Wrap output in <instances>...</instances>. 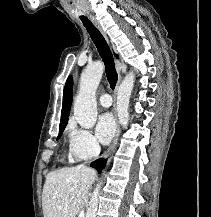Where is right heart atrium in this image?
Wrapping results in <instances>:
<instances>
[{
  "instance_id": "d8ad5b80",
  "label": "right heart atrium",
  "mask_w": 211,
  "mask_h": 217,
  "mask_svg": "<svg viewBox=\"0 0 211 217\" xmlns=\"http://www.w3.org/2000/svg\"><path fill=\"white\" fill-rule=\"evenodd\" d=\"M68 135L70 152L77 159H91L99 154L100 146L89 130L71 124L68 127Z\"/></svg>"
}]
</instances>
